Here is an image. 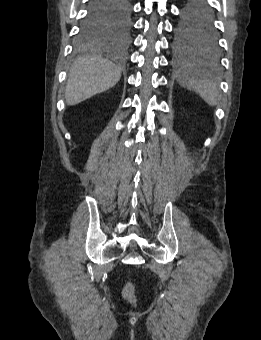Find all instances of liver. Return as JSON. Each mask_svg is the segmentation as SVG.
<instances>
[{
	"label": "liver",
	"instance_id": "1",
	"mask_svg": "<svg viewBox=\"0 0 261 340\" xmlns=\"http://www.w3.org/2000/svg\"><path fill=\"white\" fill-rule=\"evenodd\" d=\"M121 77V68L101 56L77 59L69 72L65 90L68 105H76L113 87Z\"/></svg>",
	"mask_w": 261,
	"mask_h": 340
}]
</instances>
